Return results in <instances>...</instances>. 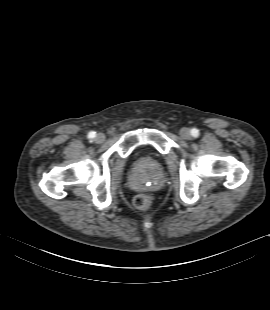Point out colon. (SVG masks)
I'll list each match as a JSON object with an SVG mask.
<instances>
[{"label": "colon", "mask_w": 270, "mask_h": 310, "mask_svg": "<svg viewBox=\"0 0 270 310\" xmlns=\"http://www.w3.org/2000/svg\"><path fill=\"white\" fill-rule=\"evenodd\" d=\"M154 199L150 194H141L134 199L135 206L142 210L148 211L153 207Z\"/></svg>", "instance_id": "5ec220e1"}]
</instances>
